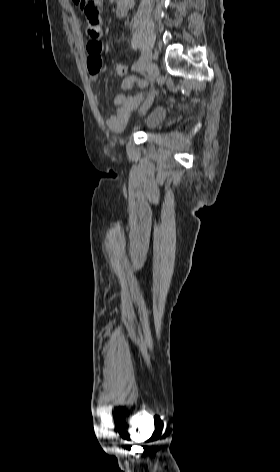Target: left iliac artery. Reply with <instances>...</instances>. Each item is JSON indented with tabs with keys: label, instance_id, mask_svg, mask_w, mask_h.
Returning a JSON list of instances; mask_svg holds the SVG:
<instances>
[{
	"label": "left iliac artery",
	"instance_id": "left-iliac-artery-1",
	"mask_svg": "<svg viewBox=\"0 0 280 472\" xmlns=\"http://www.w3.org/2000/svg\"><path fill=\"white\" fill-rule=\"evenodd\" d=\"M148 61V54L146 51H143L140 59L132 66V71H139L143 69Z\"/></svg>",
	"mask_w": 280,
	"mask_h": 472
}]
</instances>
